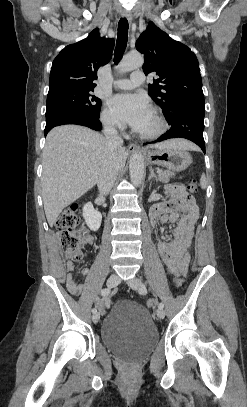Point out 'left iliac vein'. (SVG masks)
Listing matches in <instances>:
<instances>
[{
  "mask_svg": "<svg viewBox=\"0 0 247 407\" xmlns=\"http://www.w3.org/2000/svg\"><path fill=\"white\" fill-rule=\"evenodd\" d=\"M141 283L142 282L138 277H134L128 280V284L133 290H138L141 286ZM156 314L159 319H163L165 317V312L163 309H158Z\"/></svg>",
  "mask_w": 247,
  "mask_h": 407,
  "instance_id": "4c4485c4",
  "label": "left iliac vein"
}]
</instances>
